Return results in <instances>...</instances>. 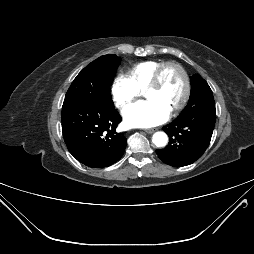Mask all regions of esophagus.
I'll return each instance as SVG.
<instances>
[{
	"label": "esophagus",
	"mask_w": 254,
	"mask_h": 254,
	"mask_svg": "<svg viewBox=\"0 0 254 254\" xmlns=\"http://www.w3.org/2000/svg\"><path fill=\"white\" fill-rule=\"evenodd\" d=\"M156 130L155 129H146L145 132L148 133V134H151L153 132H155Z\"/></svg>",
	"instance_id": "1"
}]
</instances>
